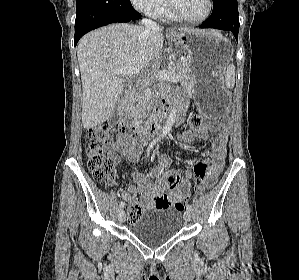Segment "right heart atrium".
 I'll return each instance as SVG.
<instances>
[{
    "mask_svg": "<svg viewBox=\"0 0 299 280\" xmlns=\"http://www.w3.org/2000/svg\"><path fill=\"white\" fill-rule=\"evenodd\" d=\"M163 0H130L132 5L139 11L153 15Z\"/></svg>",
    "mask_w": 299,
    "mask_h": 280,
    "instance_id": "right-heart-atrium-1",
    "label": "right heart atrium"
}]
</instances>
